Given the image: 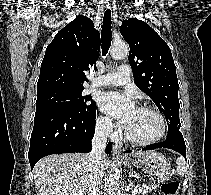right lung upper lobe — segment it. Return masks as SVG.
<instances>
[{
    "label": "right lung upper lobe",
    "mask_w": 211,
    "mask_h": 195,
    "mask_svg": "<svg viewBox=\"0 0 211 195\" xmlns=\"http://www.w3.org/2000/svg\"><path fill=\"white\" fill-rule=\"evenodd\" d=\"M100 52V34L91 19L78 15L47 46L37 93L55 88L83 89Z\"/></svg>",
    "instance_id": "1"
}]
</instances>
